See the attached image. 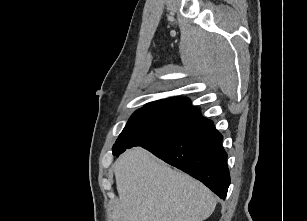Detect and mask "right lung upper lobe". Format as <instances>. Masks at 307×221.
<instances>
[{
  "instance_id": "cb5924a9",
  "label": "right lung upper lobe",
  "mask_w": 307,
  "mask_h": 221,
  "mask_svg": "<svg viewBox=\"0 0 307 221\" xmlns=\"http://www.w3.org/2000/svg\"><path fill=\"white\" fill-rule=\"evenodd\" d=\"M156 102H170V103H184V104H189L191 105V102L187 98H167V99H162Z\"/></svg>"
}]
</instances>
